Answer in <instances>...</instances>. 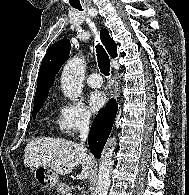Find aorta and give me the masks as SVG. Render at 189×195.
Wrapping results in <instances>:
<instances>
[{"label":"aorta","mask_w":189,"mask_h":195,"mask_svg":"<svg viewBox=\"0 0 189 195\" xmlns=\"http://www.w3.org/2000/svg\"><path fill=\"white\" fill-rule=\"evenodd\" d=\"M84 75V59L75 57L65 64L61 76V85L66 97L71 100H76L81 95ZM114 150L113 141H110L108 147L102 154L99 164L96 195H107L108 193L111 182L110 174L113 167Z\"/></svg>","instance_id":"762f6f07"}]
</instances>
